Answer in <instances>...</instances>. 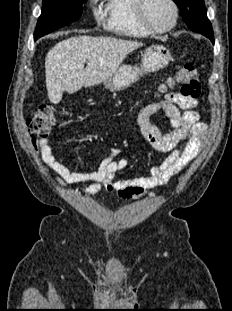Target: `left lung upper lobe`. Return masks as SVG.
I'll return each mask as SVG.
<instances>
[{"label":"left lung upper lobe","instance_id":"1","mask_svg":"<svg viewBox=\"0 0 232 311\" xmlns=\"http://www.w3.org/2000/svg\"><path fill=\"white\" fill-rule=\"evenodd\" d=\"M180 9L184 22L193 31L209 27L204 0H173Z\"/></svg>","mask_w":232,"mask_h":311}]
</instances>
